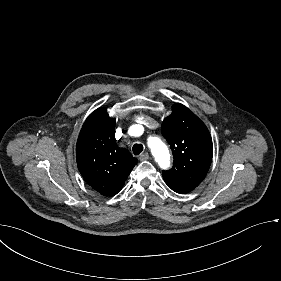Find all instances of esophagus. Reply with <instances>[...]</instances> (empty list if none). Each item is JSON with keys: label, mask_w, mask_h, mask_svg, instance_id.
Returning <instances> with one entry per match:
<instances>
[{"label": "esophagus", "mask_w": 281, "mask_h": 281, "mask_svg": "<svg viewBox=\"0 0 281 281\" xmlns=\"http://www.w3.org/2000/svg\"><path fill=\"white\" fill-rule=\"evenodd\" d=\"M148 159H149V154L147 152H145V153H143L139 156L140 161H145V160H148Z\"/></svg>", "instance_id": "1"}]
</instances>
